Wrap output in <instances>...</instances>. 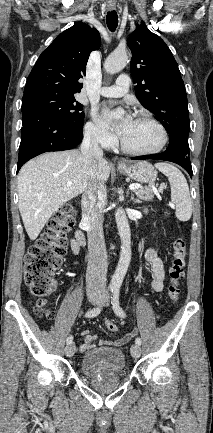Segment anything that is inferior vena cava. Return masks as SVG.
Returning a JSON list of instances; mask_svg holds the SVG:
<instances>
[{
	"label": "inferior vena cava",
	"instance_id": "obj_1",
	"mask_svg": "<svg viewBox=\"0 0 213 433\" xmlns=\"http://www.w3.org/2000/svg\"><path fill=\"white\" fill-rule=\"evenodd\" d=\"M81 153L95 162L103 157L99 147L98 136L86 132L81 144ZM107 201L106 186L92 181L82 195V221L87 225L88 269L87 292L101 293L106 291L107 252L103 234V215Z\"/></svg>",
	"mask_w": 213,
	"mask_h": 433
}]
</instances>
